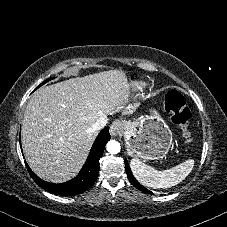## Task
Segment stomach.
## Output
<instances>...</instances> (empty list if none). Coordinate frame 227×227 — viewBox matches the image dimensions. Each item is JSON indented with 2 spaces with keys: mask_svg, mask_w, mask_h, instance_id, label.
I'll return each instance as SVG.
<instances>
[{
  "mask_svg": "<svg viewBox=\"0 0 227 227\" xmlns=\"http://www.w3.org/2000/svg\"><path fill=\"white\" fill-rule=\"evenodd\" d=\"M127 152L144 160L163 158L172 144V132L161 116L150 115L123 125Z\"/></svg>",
  "mask_w": 227,
  "mask_h": 227,
  "instance_id": "0dacf381",
  "label": "stomach"
}]
</instances>
